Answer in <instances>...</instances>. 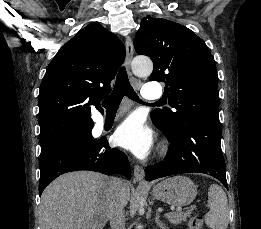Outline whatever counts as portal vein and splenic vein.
Listing matches in <instances>:
<instances>
[{
    "instance_id": "1",
    "label": "portal vein and splenic vein",
    "mask_w": 261,
    "mask_h": 229,
    "mask_svg": "<svg viewBox=\"0 0 261 229\" xmlns=\"http://www.w3.org/2000/svg\"><path fill=\"white\" fill-rule=\"evenodd\" d=\"M203 207H208V204H203ZM166 217H171L170 213H167Z\"/></svg>"
}]
</instances>
